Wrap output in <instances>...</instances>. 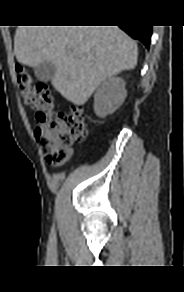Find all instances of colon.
Listing matches in <instances>:
<instances>
[{
  "label": "colon",
  "instance_id": "obj_1",
  "mask_svg": "<svg viewBox=\"0 0 184 292\" xmlns=\"http://www.w3.org/2000/svg\"><path fill=\"white\" fill-rule=\"evenodd\" d=\"M16 81L24 101L36 110L34 132L46 161L52 165L66 162L71 155V146L87 137L83 110L75 106L68 113H56L47 84L35 83L21 65L16 66Z\"/></svg>",
  "mask_w": 184,
  "mask_h": 292
}]
</instances>
